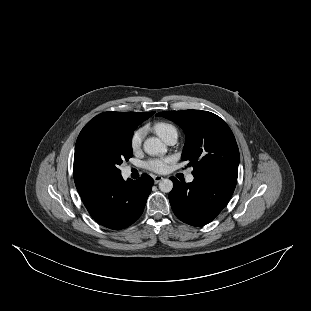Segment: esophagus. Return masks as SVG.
<instances>
[{
  "label": "esophagus",
  "mask_w": 311,
  "mask_h": 311,
  "mask_svg": "<svg viewBox=\"0 0 311 311\" xmlns=\"http://www.w3.org/2000/svg\"><path fill=\"white\" fill-rule=\"evenodd\" d=\"M153 179H154V183L158 184L161 180H163V176H161V175H154Z\"/></svg>",
  "instance_id": "34e87169"
}]
</instances>
